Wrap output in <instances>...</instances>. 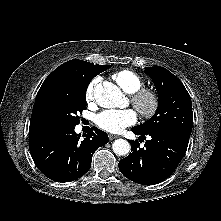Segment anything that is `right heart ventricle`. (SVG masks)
Returning a JSON list of instances; mask_svg holds the SVG:
<instances>
[{
    "instance_id": "obj_1",
    "label": "right heart ventricle",
    "mask_w": 221,
    "mask_h": 221,
    "mask_svg": "<svg viewBox=\"0 0 221 221\" xmlns=\"http://www.w3.org/2000/svg\"><path fill=\"white\" fill-rule=\"evenodd\" d=\"M112 79L127 93L132 94L144 85L140 75L134 71L124 69L112 74Z\"/></svg>"
}]
</instances>
